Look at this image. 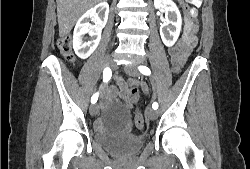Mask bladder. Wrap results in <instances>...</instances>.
<instances>
[{"mask_svg":"<svg viewBox=\"0 0 250 169\" xmlns=\"http://www.w3.org/2000/svg\"><path fill=\"white\" fill-rule=\"evenodd\" d=\"M135 136L129 133H94L93 142L105 151L127 157L135 155L146 142V139H136Z\"/></svg>","mask_w":250,"mask_h":169,"instance_id":"31cf9c89","label":"bladder"}]
</instances>
